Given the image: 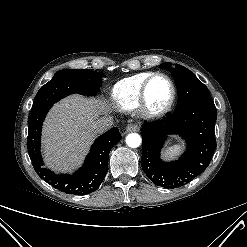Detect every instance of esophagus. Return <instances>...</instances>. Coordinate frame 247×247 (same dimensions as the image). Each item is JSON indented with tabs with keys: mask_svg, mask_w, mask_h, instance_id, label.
Instances as JSON below:
<instances>
[{
	"mask_svg": "<svg viewBox=\"0 0 247 247\" xmlns=\"http://www.w3.org/2000/svg\"><path fill=\"white\" fill-rule=\"evenodd\" d=\"M139 131V126L137 124H128L126 127V132H137Z\"/></svg>",
	"mask_w": 247,
	"mask_h": 247,
	"instance_id": "esophagus-1",
	"label": "esophagus"
}]
</instances>
